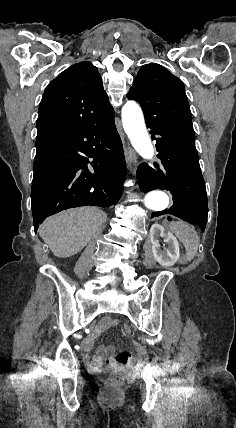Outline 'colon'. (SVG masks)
Listing matches in <instances>:
<instances>
[{"label": "colon", "mask_w": 236, "mask_h": 428, "mask_svg": "<svg viewBox=\"0 0 236 428\" xmlns=\"http://www.w3.org/2000/svg\"><path fill=\"white\" fill-rule=\"evenodd\" d=\"M123 333L125 335L131 334L130 327L124 326L123 327ZM124 384H125V377L123 375H120V374L112 375L106 380L107 388H108V390H110L112 392L119 391L123 387Z\"/></svg>", "instance_id": "obj_1"}]
</instances>
